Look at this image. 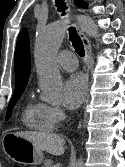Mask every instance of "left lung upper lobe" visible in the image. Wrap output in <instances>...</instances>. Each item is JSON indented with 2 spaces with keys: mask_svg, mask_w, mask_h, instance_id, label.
Wrapping results in <instances>:
<instances>
[{
  "mask_svg": "<svg viewBox=\"0 0 125 167\" xmlns=\"http://www.w3.org/2000/svg\"><path fill=\"white\" fill-rule=\"evenodd\" d=\"M75 4L79 7L86 8V3L83 0H75Z\"/></svg>",
  "mask_w": 125,
  "mask_h": 167,
  "instance_id": "5c2ea615",
  "label": "left lung upper lobe"
}]
</instances>
